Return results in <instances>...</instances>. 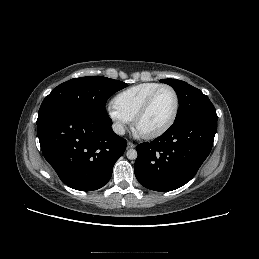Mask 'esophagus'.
Here are the masks:
<instances>
[{"label": "esophagus", "mask_w": 259, "mask_h": 259, "mask_svg": "<svg viewBox=\"0 0 259 259\" xmlns=\"http://www.w3.org/2000/svg\"><path fill=\"white\" fill-rule=\"evenodd\" d=\"M135 145L132 142H127V148H134Z\"/></svg>", "instance_id": "esophagus-1"}]
</instances>
